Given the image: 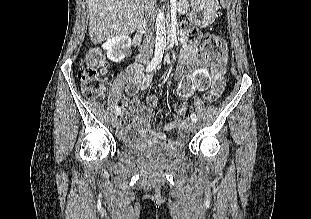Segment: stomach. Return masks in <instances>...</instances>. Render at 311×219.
<instances>
[{
	"label": "stomach",
	"instance_id": "obj_1",
	"mask_svg": "<svg viewBox=\"0 0 311 219\" xmlns=\"http://www.w3.org/2000/svg\"><path fill=\"white\" fill-rule=\"evenodd\" d=\"M215 0H191L193 9L189 20L196 26L205 28L213 22Z\"/></svg>",
	"mask_w": 311,
	"mask_h": 219
}]
</instances>
